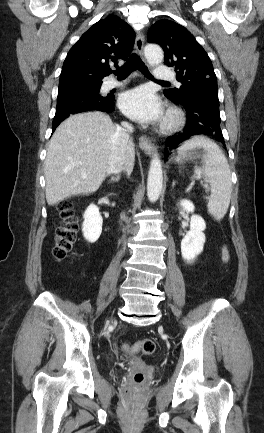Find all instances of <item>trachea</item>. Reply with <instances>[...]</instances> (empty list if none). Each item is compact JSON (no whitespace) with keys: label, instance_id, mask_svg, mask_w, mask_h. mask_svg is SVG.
I'll use <instances>...</instances> for the list:
<instances>
[{"label":"trachea","instance_id":"obj_1","mask_svg":"<svg viewBox=\"0 0 264 433\" xmlns=\"http://www.w3.org/2000/svg\"><path fill=\"white\" fill-rule=\"evenodd\" d=\"M135 69H138L144 76L154 80V77L151 75L147 67L143 64L142 60L136 53H132L126 64L120 69L116 70L114 74L118 78H125ZM158 81L168 83L167 81Z\"/></svg>","mask_w":264,"mask_h":433}]
</instances>
